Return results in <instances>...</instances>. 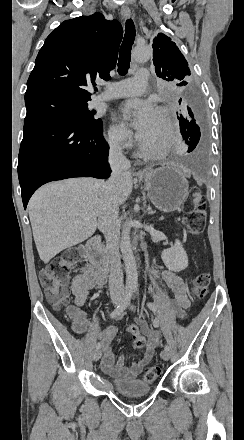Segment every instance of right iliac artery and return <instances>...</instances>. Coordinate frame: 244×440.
Segmentation results:
<instances>
[{
  "label": "right iliac artery",
  "mask_w": 244,
  "mask_h": 440,
  "mask_svg": "<svg viewBox=\"0 0 244 440\" xmlns=\"http://www.w3.org/2000/svg\"><path fill=\"white\" fill-rule=\"evenodd\" d=\"M133 295V289L132 287H126L125 294L122 302L111 312L110 317L115 318L119 316L127 307V305L130 303ZM97 349L101 348V344L98 343L96 345Z\"/></svg>",
  "instance_id": "82829eb1"
}]
</instances>
